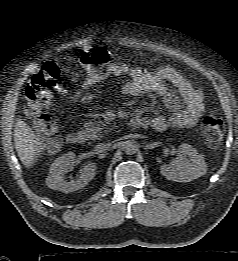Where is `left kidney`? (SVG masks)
<instances>
[{"label": "left kidney", "instance_id": "5707ae66", "mask_svg": "<svg viewBox=\"0 0 238 261\" xmlns=\"http://www.w3.org/2000/svg\"><path fill=\"white\" fill-rule=\"evenodd\" d=\"M206 171L207 165L202 155L189 144H181L177 157L169 165L160 167V173L175 182H190L206 174Z\"/></svg>", "mask_w": 238, "mask_h": 261}]
</instances>
